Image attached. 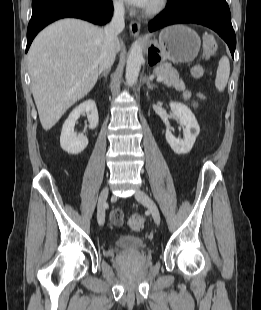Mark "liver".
I'll return each instance as SVG.
<instances>
[{
    "mask_svg": "<svg viewBox=\"0 0 261 310\" xmlns=\"http://www.w3.org/2000/svg\"><path fill=\"white\" fill-rule=\"evenodd\" d=\"M104 38L103 28L67 18L49 25L34 39L27 55L28 70L45 131L95 86ZM115 49H121L119 40Z\"/></svg>",
    "mask_w": 261,
    "mask_h": 310,
    "instance_id": "liver-1",
    "label": "liver"
}]
</instances>
